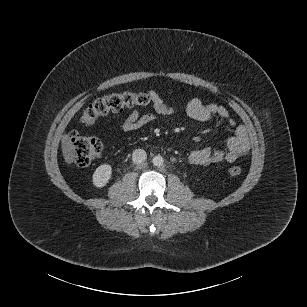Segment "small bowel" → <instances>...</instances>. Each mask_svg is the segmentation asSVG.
<instances>
[{"instance_id": "c3829d8e", "label": "small bowel", "mask_w": 307, "mask_h": 307, "mask_svg": "<svg viewBox=\"0 0 307 307\" xmlns=\"http://www.w3.org/2000/svg\"><path fill=\"white\" fill-rule=\"evenodd\" d=\"M154 102V111L141 114L132 110L122 121L121 129L125 132L136 131L154 122L159 115H172L173 107L163 102L157 92L149 91ZM188 116L196 121L205 122L219 119L231 128L233 135L227 142V149L204 147L193 150L188 155V161L196 166H207L215 163H233L246 156L250 150V141L246 128L238 124L226 108L216 103H204L199 98L191 99L186 107Z\"/></svg>"}]
</instances>
